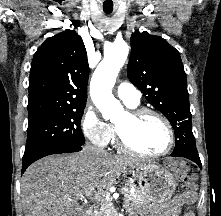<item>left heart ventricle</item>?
I'll list each match as a JSON object with an SVG mask.
<instances>
[{
  "instance_id": "left-heart-ventricle-1",
  "label": "left heart ventricle",
  "mask_w": 221,
  "mask_h": 216,
  "mask_svg": "<svg viewBox=\"0 0 221 216\" xmlns=\"http://www.w3.org/2000/svg\"><path fill=\"white\" fill-rule=\"evenodd\" d=\"M116 125L127 140L137 149L146 153H156L168 144V133L164 124L156 117L148 115L137 122H132L124 113Z\"/></svg>"
}]
</instances>
